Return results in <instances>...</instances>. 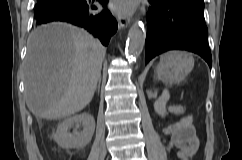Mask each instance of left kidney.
Instances as JSON below:
<instances>
[{"label":"left kidney","instance_id":"obj_1","mask_svg":"<svg viewBox=\"0 0 242 160\" xmlns=\"http://www.w3.org/2000/svg\"><path fill=\"white\" fill-rule=\"evenodd\" d=\"M155 112L160 115L161 117H164L166 115V109H165V103H161L158 101L154 104Z\"/></svg>","mask_w":242,"mask_h":160}]
</instances>
